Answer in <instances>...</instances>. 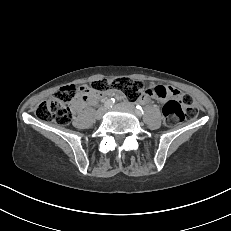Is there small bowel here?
<instances>
[{
	"label": "small bowel",
	"mask_w": 231,
	"mask_h": 231,
	"mask_svg": "<svg viewBox=\"0 0 231 231\" xmlns=\"http://www.w3.org/2000/svg\"><path fill=\"white\" fill-rule=\"evenodd\" d=\"M180 95V92L173 86H155L149 88L140 97L141 103H147L153 98L157 99H174ZM99 98V94L94 92L91 88L86 85L80 87V95L74 101L73 107L75 110H79L85 105L96 103Z\"/></svg>",
	"instance_id": "small-bowel-1"
}]
</instances>
